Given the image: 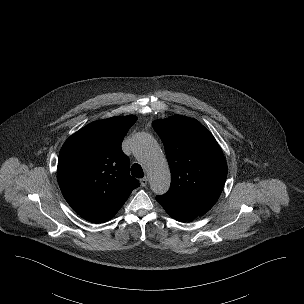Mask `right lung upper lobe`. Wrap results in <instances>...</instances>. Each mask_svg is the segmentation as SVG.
<instances>
[{"mask_svg":"<svg viewBox=\"0 0 304 304\" xmlns=\"http://www.w3.org/2000/svg\"><path fill=\"white\" fill-rule=\"evenodd\" d=\"M136 120L130 115L92 122L69 137L60 150V189L69 205L88 221L112 219L139 186L121 149Z\"/></svg>","mask_w":304,"mask_h":304,"instance_id":"1","label":"right lung upper lobe"}]
</instances>
